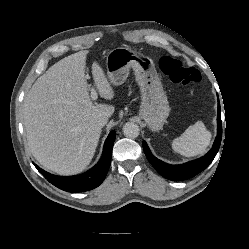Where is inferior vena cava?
I'll return each mask as SVG.
<instances>
[{
	"label": "inferior vena cava",
	"mask_w": 249,
	"mask_h": 249,
	"mask_svg": "<svg viewBox=\"0 0 249 249\" xmlns=\"http://www.w3.org/2000/svg\"><path fill=\"white\" fill-rule=\"evenodd\" d=\"M108 122V118L107 117H100L99 119H97L96 124L99 127H103L106 125V123Z\"/></svg>",
	"instance_id": "obj_1"
}]
</instances>
